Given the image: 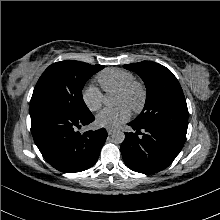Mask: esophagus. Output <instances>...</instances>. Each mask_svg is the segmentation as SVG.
I'll return each instance as SVG.
<instances>
[{
  "label": "esophagus",
  "instance_id": "obj_1",
  "mask_svg": "<svg viewBox=\"0 0 220 220\" xmlns=\"http://www.w3.org/2000/svg\"><path fill=\"white\" fill-rule=\"evenodd\" d=\"M114 132H115L114 129H111V128L107 129V133H108L109 135H112Z\"/></svg>",
  "mask_w": 220,
  "mask_h": 220
}]
</instances>
